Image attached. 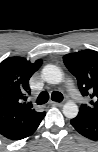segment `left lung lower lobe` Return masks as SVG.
<instances>
[{"label":"left lung lower lobe","instance_id":"1","mask_svg":"<svg viewBox=\"0 0 98 152\" xmlns=\"http://www.w3.org/2000/svg\"><path fill=\"white\" fill-rule=\"evenodd\" d=\"M71 124L81 135L91 140H98V122L77 116L71 119Z\"/></svg>","mask_w":98,"mask_h":152}]
</instances>
